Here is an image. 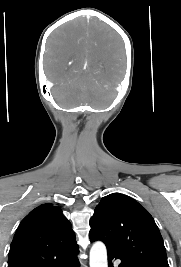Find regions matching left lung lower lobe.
Returning a JSON list of instances; mask_svg holds the SVG:
<instances>
[{
    "label": "left lung lower lobe",
    "mask_w": 181,
    "mask_h": 267,
    "mask_svg": "<svg viewBox=\"0 0 181 267\" xmlns=\"http://www.w3.org/2000/svg\"><path fill=\"white\" fill-rule=\"evenodd\" d=\"M108 251V262H109V267H113L112 261L115 259H120L121 263L119 267H143L142 265H139L135 262H131L125 258H123L116 250H113L111 248L107 247Z\"/></svg>",
    "instance_id": "left-lung-lower-lobe-1"
}]
</instances>
